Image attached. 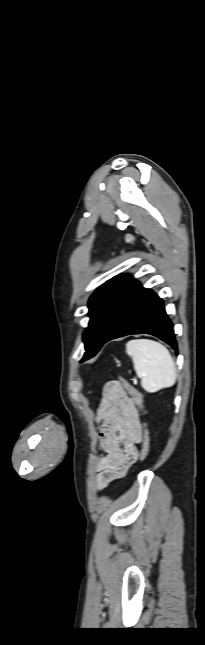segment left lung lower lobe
<instances>
[{"label": "left lung lower lobe", "instance_id": "1", "mask_svg": "<svg viewBox=\"0 0 205 645\" xmlns=\"http://www.w3.org/2000/svg\"><path fill=\"white\" fill-rule=\"evenodd\" d=\"M131 334H150L166 342L174 350L178 349L173 325L165 312L162 299L129 276L113 304L102 345Z\"/></svg>", "mask_w": 205, "mask_h": 645}]
</instances>
